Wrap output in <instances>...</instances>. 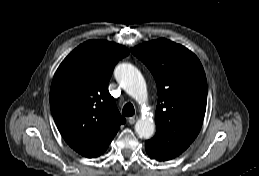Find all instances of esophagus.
I'll use <instances>...</instances> for the list:
<instances>
[{
    "label": "esophagus",
    "mask_w": 259,
    "mask_h": 176,
    "mask_svg": "<svg viewBox=\"0 0 259 176\" xmlns=\"http://www.w3.org/2000/svg\"><path fill=\"white\" fill-rule=\"evenodd\" d=\"M138 117L137 116H132L128 118V123L129 124H134L137 121Z\"/></svg>",
    "instance_id": "1"
}]
</instances>
